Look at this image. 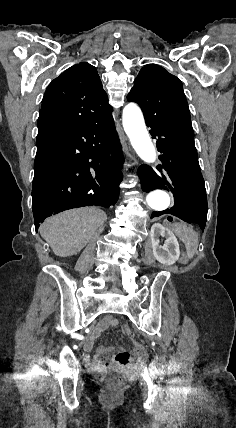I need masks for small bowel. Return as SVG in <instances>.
Wrapping results in <instances>:
<instances>
[{
  "label": "small bowel",
  "instance_id": "c3829d8e",
  "mask_svg": "<svg viewBox=\"0 0 236 428\" xmlns=\"http://www.w3.org/2000/svg\"><path fill=\"white\" fill-rule=\"evenodd\" d=\"M117 325V320L114 317L108 316L102 320V322L92 330L88 338L84 342V349L90 351L96 339L101 335L103 331L110 327ZM134 356L125 350L115 352L111 347L100 346L93 359L87 360L88 367L93 371H100L103 368V359L107 358L108 365L116 368H128L134 369L140 366L146 358L145 348L134 342Z\"/></svg>",
  "mask_w": 236,
  "mask_h": 428
}]
</instances>
